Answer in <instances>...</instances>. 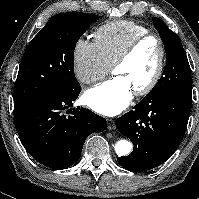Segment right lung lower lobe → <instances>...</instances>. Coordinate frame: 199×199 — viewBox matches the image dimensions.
I'll return each instance as SVG.
<instances>
[{
  "instance_id": "98d812e1",
  "label": "right lung lower lobe",
  "mask_w": 199,
  "mask_h": 199,
  "mask_svg": "<svg viewBox=\"0 0 199 199\" xmlns=\"http://www.w3.org/2000/svg\"><path fill=\"white\" fill-rule=\"evenodd\" d=\"M79 93L44 99L14 114L24 147L35 160L49 168L73 165L81 155L86 138L106 129V119L91 110L69 109ZM65 110L72 115L66 116Z\"/></svg>"
}]
</instances>
